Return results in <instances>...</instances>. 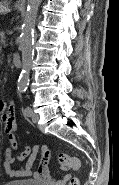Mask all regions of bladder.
<instances>
[{"label":"bladder","instance_id":"bladder-1","mask_svg":"<svg viewBox=\"0 0 119 185\" xmlns=\"http://www.w3.org/2000/svg\"><path fill=\"white\" fill-rule=\"evenodd\" d=\"M5 185H44V184L33 179H22V180L9 181L5 183Z\"/></svg>","mask_w":119,"mask_h":185}]
</instances>
